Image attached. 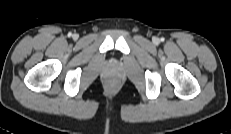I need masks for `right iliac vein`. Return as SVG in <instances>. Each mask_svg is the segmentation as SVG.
Listing matches in <instances>:
<instances>
[{"instance_id": "right-iliac-vein-1", "label": "right iliac vein", "mask_w": 231, "mask_h": 134, "mask_svg": "<svg viewBox=\"0 0 231 134\" xmlns=\"http://www.w3.org/2000/svg\"><path fill=\"white\" fill-rule=\"evenodd\" d=\"M73 38H74V39H77V38H78V36L75 34V35H73Z\"/></svg>"}]
</instances>
